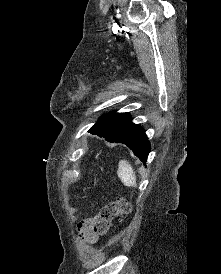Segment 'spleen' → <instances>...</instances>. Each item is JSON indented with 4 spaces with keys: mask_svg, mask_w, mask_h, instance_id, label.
<instances>
[{
    "mask_svg": "<svg viewBox=\"0 0 221 274\" xmlns=\"http://www.w3.org/2000/svg\"><path fill=\"white\" fill-rule=\"evenodd\" d=\"M118 177L122 181V183L127 187H136V176L132 166L126 160L119 161Z\"/></svg>",
    "mask_w": 221,
    "mask_h": 274,
    "instance_id": "3e777b00",
    "label": "spleen"
}]
</instances>
